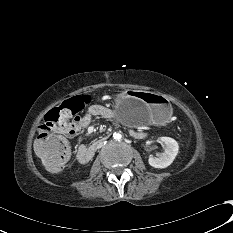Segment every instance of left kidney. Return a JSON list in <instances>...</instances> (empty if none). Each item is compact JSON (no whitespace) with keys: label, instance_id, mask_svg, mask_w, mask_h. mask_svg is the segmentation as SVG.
<instances>
[{"label":"left kidney","instance_id":"obj_1","mask_svg":"<svg viewBox=\"0 0 233 233\" xmlns=\"http://www.w3.org/2000/svg\"><path fill=\"white\" fill-rule=\"evenodd\" d=\"M159 140L165 144L164 152L159 153L157 157L149 156V164L154 168H166L174 161L179 151V145L176 140L170 137H161Z\"/></svg>","mask_w":233,"mask_h":233}]
</instances>
